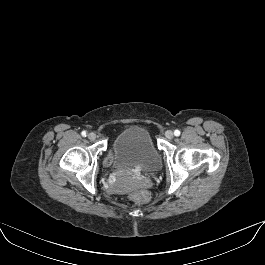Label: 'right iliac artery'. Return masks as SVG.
I'll return each instance as SVG.
<instances>
[{"label": "right iliac artery", "instance_id": "right-iliac-artery-1", "mask_svg": "<svg viewBox=\"0 0 265 265\" xmlns=\"http://www.w3.org/2000/svg\"><path fill=\"white\" fill-rule=\"evenodd\" d=\"M81 135H82L83 137H86V136H87V132H86V131H82V132H81Z\"/></svg>", "mask_w": 265, "mask_h": 265}]
</instances>
